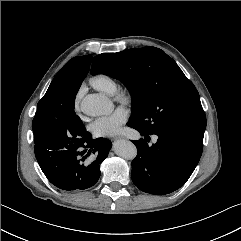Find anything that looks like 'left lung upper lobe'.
Wrapping results in <instances>:
<instances>
[{
  "instance_id": "obj_1",
  "label": "left lung upper lobe",
  "mask_w": 241,
  "mask_h": 241,
  "mask_svg": "<svg viewBox=\"0 0 241 241\" xmlns=\"http://www.w3.org/2000/svg\"><path fill=\"white\" fill-rule=\"evenodd\" d=\"M91 74L120 80L130 91L129 120L147 134L176 126L204 132L206 116L198 91L164 51L147 46L93 58Z\"/></svg>"
}]
</instances>
